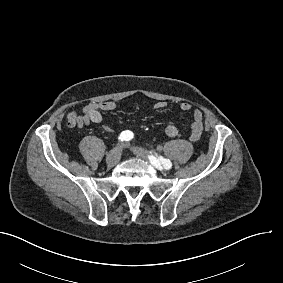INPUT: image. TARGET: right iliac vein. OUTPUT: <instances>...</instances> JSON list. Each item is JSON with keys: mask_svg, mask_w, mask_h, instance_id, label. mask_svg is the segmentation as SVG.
<instances>
[{"mask_svg": "<svg viewBox=\"0 0 283 283\" xmlns=\"http://www.w3.org/2000/svg\"><path fill=\"white\" fill-rule=\"evenodd\" d=\"M121 158V148L112 149L106 157V164L109 167H113L119 163Z\"/></svg>", "mask_w": 283, "mask_h": 283, "instance_id": "obj_1", "label": "right iliac vein"}]
</instances>
